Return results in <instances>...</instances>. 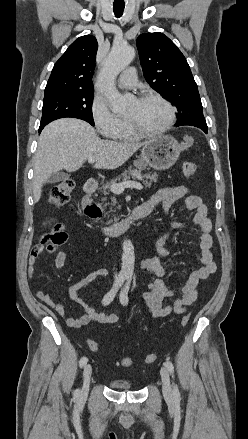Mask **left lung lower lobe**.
I'll use <instances>...</instances> for the list:
<instances>
[{"mask_svg": "<svg viewBox=\"0 0 248 439\" xmlns=\"http://www.w3.org/2000/svg\"><path fill=\"white\" fill-rule=\"evenodd\" d=\"M198 128L202 129L205 133H207L208 127L206 126H198Z\"/></svg>", "mask_w": 248, "mask_h": 439, "instance_id": "0a47b994", "label": "left lung lower lobe"}]
</instances>
